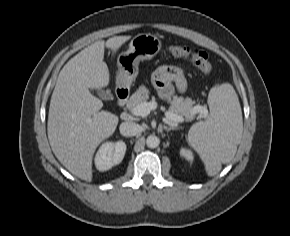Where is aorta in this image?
Wrapping results in <instances>:
<instances>
[{
  "instance_id": "1",
  "label": "aorta",
  "mask_w": 290,
  "mask_h": 236,
  "mask_svg": "<svg viewBox=\"0 0 290 236\" xmlns=\"http://www.w3.org/2000/svg\"><path fill=\"white\" fill-rule=\"evenodd\" d=\"M160 144V139L155 135H149L146 139V145L149 148H156Z\"/></svg>"
}]
</instances>
